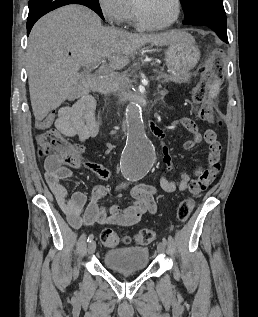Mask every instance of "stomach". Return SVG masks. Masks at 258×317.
Here are the masks:
<instances>
[{"mask_svg": "<svg viewBox=\"0 0 258 317\" xmlns=\"http://www.w3.org/2000/svg\"><path fill=\"white\" fill-rule=\"evenodd\" d=\"M199 58L200 52L195 44L194 36L183 30L180 40L172 42L165 50L168 68L175 74H181L182 78H187L189 70L197 64Z\"/></svg>", "mask_w": 258, "mask_h": 317, "instance_id": "stomach-1", "label": "stomach"}]
</instances>
